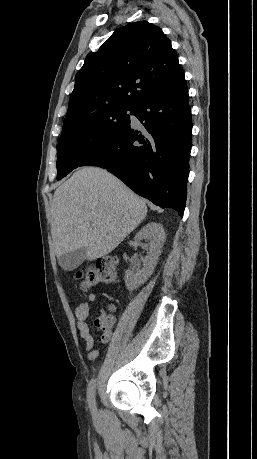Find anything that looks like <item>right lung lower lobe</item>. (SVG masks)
Here are the masks:
<instances>
[{
    "label": "right lung lower lobe",
    "mask_w": 257,
    "mask_h": 459,
    "mask_svg": "<svg viewBox=\"0 0 257 459\" xmlns=\"http://www.w3.org/2000/svg\"><path fill=\"white\" fill-rule=\"evenodd\" d=\"M133 115L141 122L138 129L129 125L80 166L106 168L140 196L182 217L192 131L184 74L139 102Z\"/></svg>",
    "instance_id": "98d812e1"
}]
</instances>
